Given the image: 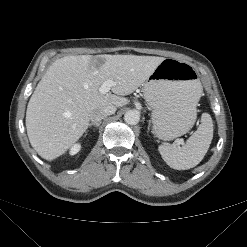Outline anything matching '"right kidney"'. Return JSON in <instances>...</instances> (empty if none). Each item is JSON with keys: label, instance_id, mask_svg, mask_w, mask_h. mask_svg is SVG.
<instances>
[{"label": "right kidney", "instance_id": "1", "mask_svg": "<svg viewBox=\"0 0 247 247\" xmlns=\"http://www.w3.org/2000/svg\"><path fill=\"white\" fill-rule=\"evenodd\" d=\"M81 146L80 144H74L70 149V155H75L79 152Z\"/></svg>", "mask_w": 247, "mask_h": 247}]
</instances>
